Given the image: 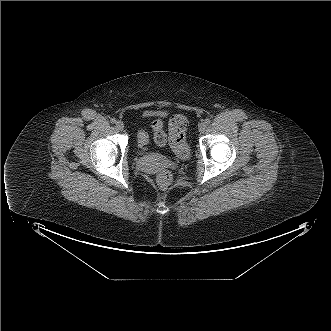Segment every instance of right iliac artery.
I'll return each instance as SVG.
<instances>
[{
    "instance_id": "1",
    "label": "right iliac artery",
    "mask_w": 331,
    "mask_h": 331,
    "mask_svg": "<svg viewBox=\"0 0 331 331\" xmlns=\"http://www.w3.org/2000/svg\"><path fill=\"white\" fill-rule=\"evenodd\" d=\"M110 121H111V123H113V124H115V123L117 122L115 118H112Z\"/></svg>"
}]
</instances>
